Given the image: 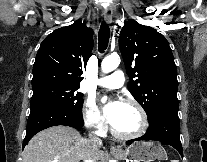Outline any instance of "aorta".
<instances>
[{"mask_svg": "<svg viewBox=\"0 0 207 162\" xmlns=\"http://www.w3.org/2000/svg\"><path fill=\"white\" fill-rule=\"evenodd\" d=\"M120 64V57L117 54H111L105 57L101 63V69L104 73H109L115 70ZM102 101H105L103 98Z\"/></svg>", "mask_w": 207, "mask_h": 162, "instance_id": "1", "label": "aorta"}]
</instances>
